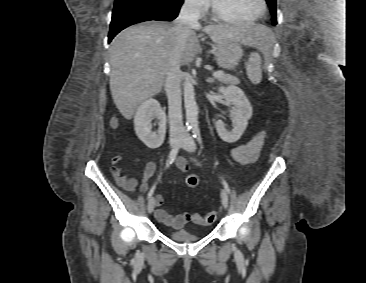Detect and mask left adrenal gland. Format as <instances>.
<instances>
[{
  "mask_svg": "<svg viewBox=\"0 0 366 283\" xmlns=\"http://www.w3.org/2000/svg\"><path fill=\"white\" fill-rule=\"evenodd\" d=\"M214 80V78H208L207 82H212Z\"/></svg>",
  "mask_w": 366,
  "mask_h": 283,
  "instance_id": "obj_1",
  "label": "left adrenal gland"
}]
</instances>
